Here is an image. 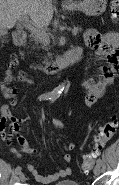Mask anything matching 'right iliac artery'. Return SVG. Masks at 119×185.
I'll use <instances>...</instances> for the list:
<instances>
[{"label": "right iliac artery", "instance_id": "right-iliac-artery-1", "mask_svg": "<svg viewBox=\"0 0 119 185\" xmlns=\"http://www.w3.org/2000/svg\"><path fill=\"white\" fill-rule=\"evenodd\" d=\"M57 95L54 94V93H46V94H42L38 97V99L41 101V100H51L53 98H56ZM15 172L16 174H19L21 172V167L20 166H17L15 168Z\"/></svg>", "mask_w": 119, "mask_h": 185}]
</instances>
